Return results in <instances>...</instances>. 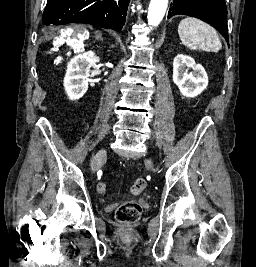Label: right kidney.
I'll list each match as a JSON object with an SVG mask.
<instances>
[{"instance_id":"ca27d5eb","label":"right kidney","mask_w":256,"mask_h":267,"mask_svg":"<svg viewBox=\"0 0 256 267\" xmlns=\"http://www.w3.org/2000/svg\"><path fill=\"white\" fill-rule=\"evenodd\" d=\"M96 60L98 56H95L94 52H84L70 60L63 82L70 100H79L87 92L90 68Z\"/></svg>"}]
</instances>
